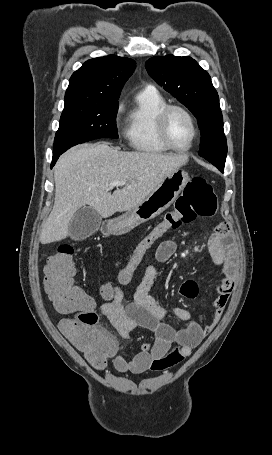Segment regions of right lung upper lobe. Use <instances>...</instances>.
Returning <instances> with one entry per match:
<instances>
[{"instance_id": "obj_1", "label": "right lung upper lobe", "mask_w": 272, "mask_h": 455, "mask_svg": "<svg viewBox=\"0 0 272 455\" xmlns=\"http://www.w3.org/2000/svg\"><path fill=\"white\" fill-rule=\"evenodd\" d=\"M134 69L132 59L115 55L86 61L70 78L65 104L118 102L123 85Z\"/></svg>"}]
</instances>
